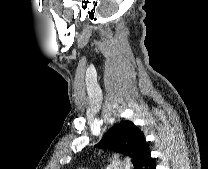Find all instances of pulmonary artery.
Wrapping results in <instances>:
<instances>
[{"label": "pulmonary artery", "instance_id": "pulmonary-artery-1", "mask_svg": "<svg viewBox=\"0 0 208 169\" xmlns=\"http://www.w3.org/2000/svg\"><path fill=\"white\" fill-rule=\"evenodd\" d=\"M107 169H129V167L124 166L120 160H114Z\"/></svg>", "mask_w": 208, "mask_h": 169}]
</instances>
